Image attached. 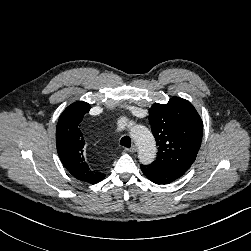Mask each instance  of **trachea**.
Listing matches in <instances>:
<instances>
[{"instance_id":"3493384b","label":"trachea","mask_w":251,"mask_h":251,"mask_svg":"<svg viewBox=\"0 0 251 251\" xmlns=\"http://www.w3.org/2000/svg\"><path fill=\"white\" fill-rule=\"evenodd\" d=\"M120 145L130 148L131 146V139L128 136H124L121 141H120Z\"/></svg>"}]
</instances>
